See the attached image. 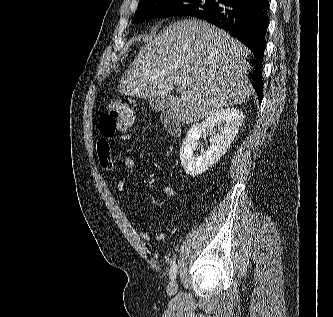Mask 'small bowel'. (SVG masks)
I'll return each mask as SVG.
<instances>
[{"instance_id":"obj_1","label":"small bowel","mask_w":333,"mask_h":317,"mask_svg":"<svg viewBox=\"0 0 333 317\" xmlns=\"http://www.w3.org/2000/svg\"><path fill=\"white\" fill-rule=\"evenodd\" d=\"M120 140L129 141L130 135L123 134L120 136ZM96 148H97L98 160H99L101 167L105 170L113 171V163H112V159H111V146H110L109 141L105 138L99 139L97 142ZM136 161H137L136 156H128L124 159V167L127 170L132 169L133 166L136 164ZM116 187H117V191L123 201V207H124L125 213L127 215H131L133 212V207H132L131 202L127 198L125 181L122 179H118L116 181ZM163 190H164V193L168 197H170L172 199L177 198V193L172 186L167 185L164 187ZM137 235L143 241H151V240L162 241L166 237V234L164 232H159V233L155 234L154 236H152L150 233H148L144 230H137Z\"/></svg>"}]
</instances>
